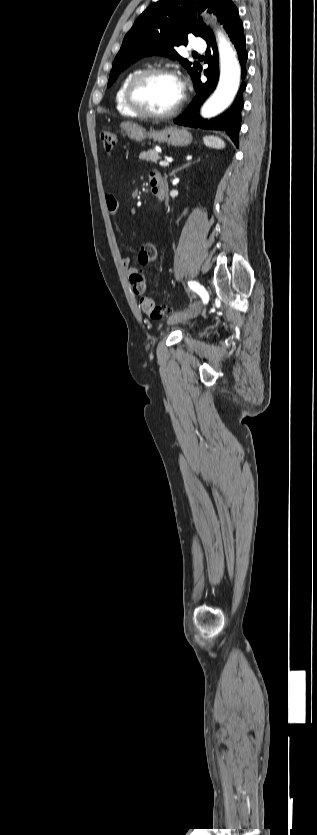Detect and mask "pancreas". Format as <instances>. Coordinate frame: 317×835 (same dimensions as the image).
Returning <instances> with one entry per match:
<instances>
[{"mask_svg":"<svg viewBox=\"0 0 317 835\" xmlns=\"http://www.w3.org/2000/svg\"><path fill=\"white\" fill-rule=\"evenodd\" d=\"M141 160H145L146 162H157L160 159V156L156 150H149L147 152H142L139 155Z\"/></svg>","mask_w":317,"mask_h":835,"instance_id":"1","label":"pancreas"}]
</instances>
